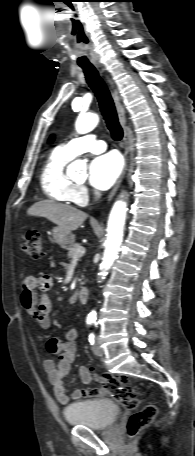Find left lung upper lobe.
<instances>
[{
  "label": "left lung upper lobe",
  "instance_id": "obj_1",
  "mask_svg": "<svg viewBox=\"0 0 195 456\" xmlns=\"http://www.w3.org/2000/svg\"><path fill=\"white\" fill-rule=\"evenodd\" d=\"M52 139H53V136H51L50 140H52Z\"/></svg>",
  "mask_w": 195,
  "mask_h": 456
}]
</instances>
